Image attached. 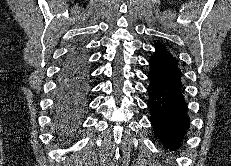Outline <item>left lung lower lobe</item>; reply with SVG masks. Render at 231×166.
I'll use <instances>...</instances> for the list:
<instances>
[{
  "instance_id": "0a47b994",
  "label": "left lung lower lobe",
  "mask_w": 231,
  "mask_h": 166,
  "mask_svg": "<svg viewBox=\"0 0 231 166\" xmlns=\"http://www.w3.org/2000/svg\"><path fill=\"white\" fill-rule=\"evenodd\" d=\"M149 60L148 107L154 133L166 149L176 150L189 128L187 104L182 92V73L178 61L164 44L155 43Z\"/></svg>"
}]
</instances>
